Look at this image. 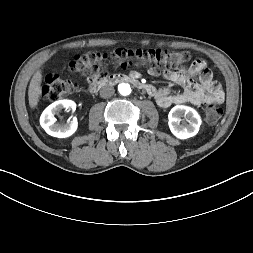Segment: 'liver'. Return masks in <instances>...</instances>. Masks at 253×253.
<instances>
[{"instance_id":"liver-1","label":"liver","mask_w":253,"mask_h":253,"mask_svg":"<svg viewBox=\"0 0 253 253\" xmlns=\"http://www.w3.org/2000/svg\"><path fill=\"white\" fill-rule=\"evenodd\" d=\"M41 82H42V74L41 70H38L33 75L28 89V100L29 105L32 109L35 108L39 102L41 96Z\"/></svg>"}]
</instances>
